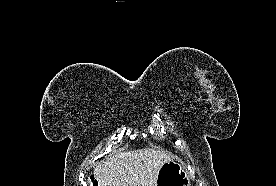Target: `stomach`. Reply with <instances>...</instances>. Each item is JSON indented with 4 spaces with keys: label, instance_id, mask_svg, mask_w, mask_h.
Wrapping results in <instances>:
<instances>
[{
    "label": "stomach",
    "instance_id": "obj_1",
    "mask_svg": "<svg viewBox=\"0 0 276 186\" xmlns=\"http://www.w3.org/2000/svg\"><path fill=\"white\" fill-rule=\"evenodd\" d=\"M156 186H190L184 167L174 160L165 162L157 175Z\"/></svg>",
    "mask_w": 276,
    "mask_h": 186
}]
</instances>
